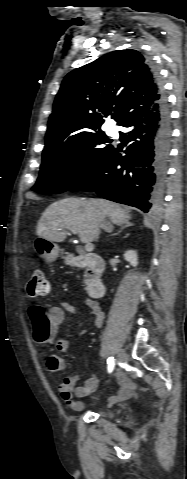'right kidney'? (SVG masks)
I'll use <instances>...</instances> for the list:
<instances>
[{"instance_id":"ca27d5eb","label":"right kidney","mask_w":187,"mask_h":479,"mask_svg":"<svg viewBox=\"0 0 187 479\" xmlns=\"http://www.w3.org/2000/svg\"><path fill=\"white\" fill-rule=\"evenodd\" d=\"M124 258L127 260L133 267L138 265L137 253L134 250H128L124 253Z\"/></svg>"}]
</instances>
